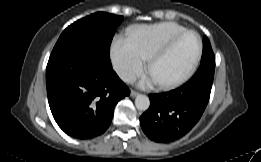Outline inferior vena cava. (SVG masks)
<instances>
[{
    "label": "inferior vena cava",
    "instance_id": "inferior-vena-cava-1",
    "mask_svg": "<svg viewBox=\"0 0 261 162\" xmlns=\"http://www.w3.org/2000/svg\"><path fill=\"white\" fill-rule=\"evenodd\" d=\"M119 76L125 82H134L137 78L134 73L126 70L120 71Z\"/></svg>",
    "mask_w": 261,
    "mask_h": 162
}]
</instances>
